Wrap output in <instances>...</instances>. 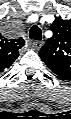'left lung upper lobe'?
<instances>
[{
    "instance_id": "1",
    "label": "left lung upper lobe",
    "mask_w": 71,
    "mask_h": 119,
    "mask_svg": "<svg viewBox=\"0 0 71 119\" xmlns=\"http://www.w3.org/2000/svg\"><path fill=\"white\" fill-rule=\"evenodd\" d=\"M51 30L53 36L39 55L53 73L61 78H71V20L56 18Z\"/></svg>"
}]
</instances>
